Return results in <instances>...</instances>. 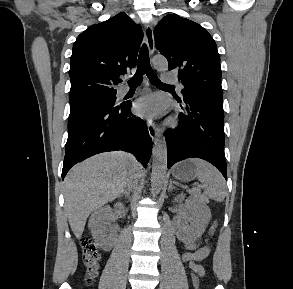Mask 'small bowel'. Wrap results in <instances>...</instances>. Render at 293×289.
<instances>
[{
    "mask_svg": "<svg viewBox=\"0 0 293 289\" xmlns=\"http://www.w3.org/2000/svg\"><path fill=\"white\" fill-rule=\"evenodd\" d=\"M184 247L186 251L182 254V260L192 269L200 266L197 262L205 259L210 252L207 246H202L198 242H187Z\"/></svg>",
    "mask_w": 293,
    "mask_h": 289,
    "instance_id": "obj_1",
    "label": "small bowel"
}]
</instances>
